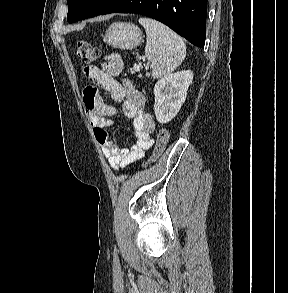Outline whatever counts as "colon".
Listing matches in <instances>:
<instances>
[{
    "mask_svg": "<svg viewBox=\"0 0 288 293\" xmlns=\"http://www.w3.org/2000/svg\"><path fill=\"white\" fill-rule=\"evenodd\" d=\"M77 55L84 63H91L98 60L100 53L99 50L91 42L79 39L77 41ZM169 141V132L165 128H161L157 134V142L152 156L145 162L144 165L155 162L163 153Z\"/></svg>",
    "mask_w": 288,
    "mask_h": 293,
    "instance_id": "obj_1",
    "label": "colon"
}]
</instances>
